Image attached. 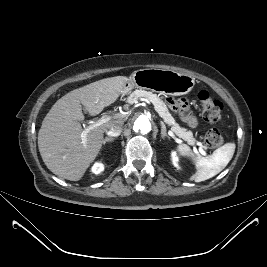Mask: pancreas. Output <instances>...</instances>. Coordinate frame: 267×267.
<instances>
[{
    "instance_id": "1",
    "label": "pancreas",
    "mask_w": 267,
    "mask_h": 267,
    "mask_svg": "<svg viewBox=\"0 0 267 267\" xmlns=\"http://www.w3.org/2000/svg\"><path fill=\"white\" fill-rule=\"evenodd\" d=\"M147 98L155 107V110L159 113V115L164 119L165 123L171 126L172 131L184 141H186L189 145H194L196 140L193 137L192 131H187L185 128H181L174 120L172 115L170 114L166 104L163 100L157 95L150 91L145 90H135L130 94L127 98V102L129 104L135 103L140 98Z\"/></svg>"
}]
</instances>
